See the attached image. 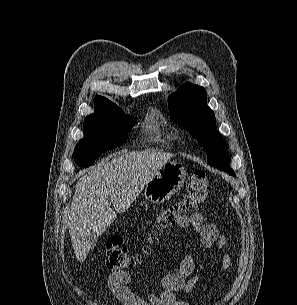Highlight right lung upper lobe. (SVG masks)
I'll use <instances>...</instances> for the list:
<instances>
[{"mask_svg": "<svg viewBox=\"0 0 297 305\" xmlns=\"http://www.w3.org/2000/svg\"><path fill=\"white\" fill-rule=\"evenodd\" d=\"M94 103L96 111H108L114 107H117L114 103L102 96H97L94 100Z\"/></svg>", "mask_w": 297, "mask_h": 305, "instance_id": "right-lung-upper-lobe-1", "label": "right lung upper lobe"}]
</instances>
